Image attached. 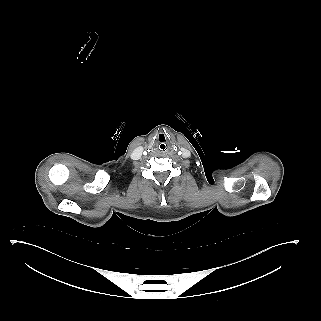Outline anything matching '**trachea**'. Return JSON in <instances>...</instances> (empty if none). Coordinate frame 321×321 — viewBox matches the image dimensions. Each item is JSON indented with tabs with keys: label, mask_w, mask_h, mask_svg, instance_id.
<instances>
[{
	"label": "trachea",
	"mask_w": 321,
	"mask_h": 321,
	"mask_svg": "<svg viewBox=\"0 0 321 321\" xmlns=\"http://www.w3.org/2000/svg\"><path fill=\"white\" fill-rule=\"evenodd\" d=\"M157 151H158L160 154H165V153L168 151V146H167L165 143H160V144L157 146Z\"/></svg>",
	"instance_id": "3493384b"
}]
</instances>
